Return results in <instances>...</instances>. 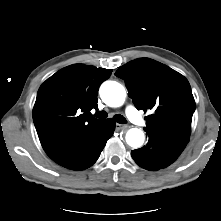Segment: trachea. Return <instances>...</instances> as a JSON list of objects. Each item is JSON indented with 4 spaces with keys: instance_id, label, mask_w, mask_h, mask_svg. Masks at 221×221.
<instances>
[{
    "instance_id": "obj_1",
    "label": "trachea",
    "mask_w": 221,
    "mask_h": 221,
    "mask_svg": "<svg viewBox=\"0 0 221 221\" xmlns=\"http://www.w3.org/2000/svg\"><path fill=\"white\" fill-rule=\"evenodd\" d=\"M108 114L107 112L105 111H100L96 114V117L97 118H100V119H105L107 118ZM113 119L119 123V124H125L126 123V119L121 115V114H116Z\"/></svg>"
}]
</instances>
